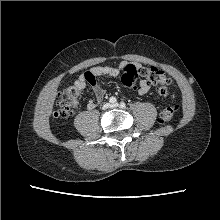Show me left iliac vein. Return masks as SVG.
I'll return each mask as SVG.
<instances>
[{"mask_svg": "<svg viewBox=\"0 0 220 220\" xmlns=\"http://www.w3.org/2000/svg\"><path fill=\"white\" fill-rule=\"evenodd\" d=\"M118 106H119L118 103H114V104H112V107H113V108H116V107H118Z\"/></svg>", "mask_w": 220, "mask_h": 220, "instance_id": "4c4485c4", "label": "left iliac vein"}]
</instances>
